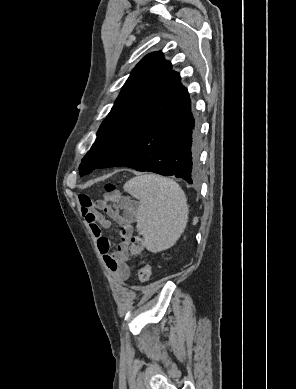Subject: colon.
I'll list each match as a JSON object with an SVG mask.
<instances>
[{
    "label": "colon",
    "instance_id": "5ec220e1",
    "mask_svg": "<svg viewBox=\"0 0 296 389\" xmlns=\"http://www.w3.org/2000/svg\"><path fill=\"white\" fill-rule=\"evenodd\" d=\"M106 191L110 194L107 198L111 200L118 201L121 199L115 193V187L112 184H107L105 187ZM143 250V240L139 236H133L130 239L129 251L132 257H138ZM152 274L151 266L143 265L138 269V278L141 284H146L149 282Z\"/></svg>",
    "mask_w": 296,
    "mask_h": 389
}]
</instances>
